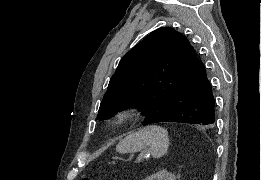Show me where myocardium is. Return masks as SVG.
<instances>
[{"label":"myocardium","mask_w":261,"mask_h":180,"mask_svg":"<svg viewBox=\"0 0 261 180\" xmlns=\"http://www.w3.org/2000/svg\"><path fill=\"white\" fill-rule=\"evenodd\" d=\"M134 116L135 109L130 106H124L115 110L112 120L116 125H121L131 120Z\"/></svg>","instance_id":"f54148a6"}]
</instances>
